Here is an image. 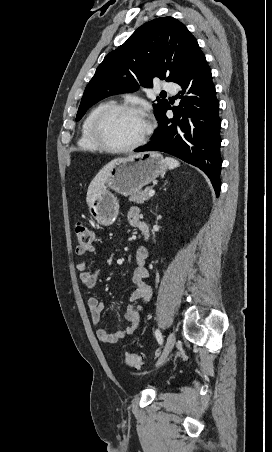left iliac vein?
I'll use <instances>...</instances> for the list:
<instances>
[{
    "label": "left iliac vein",
    "instance_id": "4c4485c4",
    "mask_svg": "<svg viewBox=\"0 0 272 452\" xmlns=\"http://www.w3.org/2000/svg\"><path fill=\"white\" fill-rule=\"evenodd\" d=\"M175 341H176L175 334L173 332L169 333L165 343L164 350L162 352L161 357L158 359L156 366H160L167 359L175 345Z\"/></svg>",
    "mask_w": 272,
    "mask_h": 452
}]
</instances>
